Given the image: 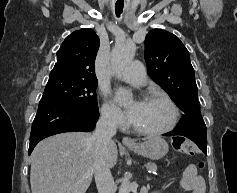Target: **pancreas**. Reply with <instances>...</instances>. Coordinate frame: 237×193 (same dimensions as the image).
<instances>
[{"label": "pancreas", "instance_id": "pancreas-1", "mask_svg": "<svg viewBox=\"0 0 237 193\" xmlns=\"http://www.w3.org/2000/svg\"><path fill=\"white\" fill-rule=\"evenodd\" d=\"M146 167H147L149 170H151V171H156V169H157L156 164L153 163V162H148V163L146 164Z\"/></svg>", "mask_w": 237, "mask_h": 193}]
</instances>
